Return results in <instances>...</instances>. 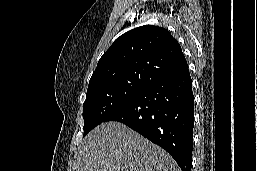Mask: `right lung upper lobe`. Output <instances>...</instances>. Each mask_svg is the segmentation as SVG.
<instances>
[{"mask_svg": "<svg viewBox=\"0 0 257 171\" xmlns=\"http://www.w3.org/2000/svg\"><path fill=\"white\" fill-rule=\"evenodd\" d=\"M186 66L181 46L168 30L145 25L114 41L100 58L88 90L114 83L149 86Z\"/></svg>", "mask_w": 257, "mask_h": 171, "instance_id": "1", "label": "right lung upper lobe"}]
</instances>
